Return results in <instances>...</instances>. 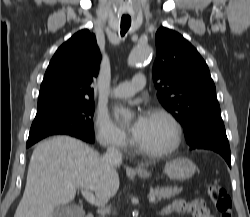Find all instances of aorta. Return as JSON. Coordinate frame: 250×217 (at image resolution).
<instances>
[{"label": "aorta", "instance_id": "aorta-1", "mask_svg": "<svg viewBox=\"0 0 250 217\" xmlns=\"http://www.w3.org/2000/svg\"><path fill=\"white\" fill-rule=\"evenodd\" d=\"M152 55V49L148 45H139L131 52L129 64L136 65L147 60Z\"/></svg>", "mask_w": 250, "mask_h": 217}]
</instances>
